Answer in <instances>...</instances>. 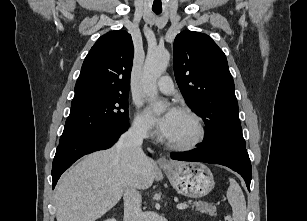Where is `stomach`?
<instances>
[{
    "label": "stomach",
    "instance_id": "obj_1",
    "mask_svg": "<svg viewBox=\"0 0 307 221\" xmlns=\"http://www.w3.org/2000/svg\"><path fill=\"white\" fill-rule=\"evenodd\" d=\"M172 186L180 194L198 198L207 195L214 187L210 169L197 162H172L163 168Z\"/></svg>",
    "mask_w": 307,
    "mask_h": 221
}]
</instances>
